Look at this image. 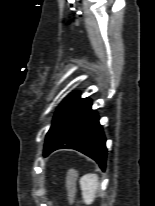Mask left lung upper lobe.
<instances>
[{
  "instance_id": "left-lung-upper-lobe-1",
  "label": "left lung upper lobe",
  "mask_w": 155,
  "mask_h": 206,
  "mask_svg": "<svg viewBox=\"0 0 155 206\" xmlns=\"http://www.w3.org/2000/svg\"><path fill=\"white\" fill-rule=\"evenodd\" d=\"M89 98H80L78 92L69 95L55 113L52 125L46 135L44 150L66 134L72 126L91 108Z\"/></svg>"
}]
</instances>
